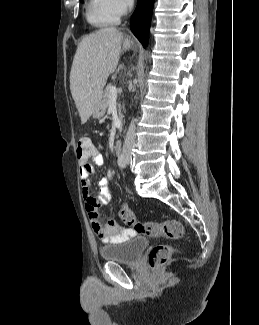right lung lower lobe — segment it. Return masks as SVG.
Returning <instances> with one entry per match:
<instances>
[{
    "mask_svg": "<svg viewBox=\"0 0 259 325\" xmlns=\"http://www.w3.org/2000/svg\"><path fill=\"white\" fill-rule=\"evenodd\" d=\"M154 0H138L131 19V30L144 47L148 44Z\"/></svg>",
    "mask_w": 259,
    "mask_h": 325,
    "instance_id": "obj_1",
    "label": "right lung lower lobe"
}]
</instances>
